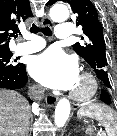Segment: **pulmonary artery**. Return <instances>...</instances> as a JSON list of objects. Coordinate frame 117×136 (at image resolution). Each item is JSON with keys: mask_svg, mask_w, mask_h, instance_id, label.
<instances>
[{"mask_svg": "<svg viewBox=\"0 0 117 136\" xmlns=\"http://www.w3.org/2000/svg\"><path fill=\"white\" fill-rule=\"evenodd\" d=\"M55 35L57 38L60 39H68L71 37V30L67 23H61L57 26ZM46 45V42L41 38H34L30 41H27L21 44L17 49L16 52L18 54H30L37 52L43 49Z\"/></svg>", "mask_w": 117, "mask_h": 136, "instance_id": "obj_1", "label": "pulmonary artery"}]
</instances>
